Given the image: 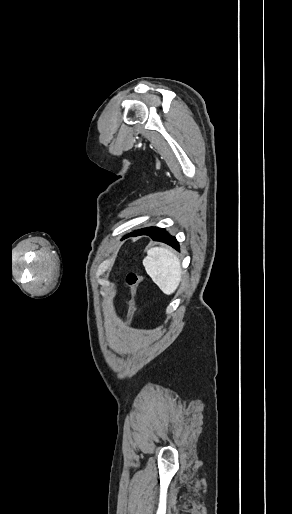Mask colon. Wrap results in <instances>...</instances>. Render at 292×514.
Instances as JSON below:
<instances>
[{
	"label": "colon",
	"instance_id": "colon-1",
	"mask_svg": "<svg viewBox=\"0 0 292 514\" xmlns=\"http://www.w3.org/2000/svg\"><path fill=\"white\" fill-rule=\"evenodd\" d=\"M141 278H142V276H141V273H139V272L131 271L126 275L125 281H126V285L130 292V297L127 301V306H128L127 315H126L127 320H131L132 316L134 315L135 306H136V297H137L138 287L141 283Z\"/></svg>",
	"mask_w": 292,
	"mask_h": 514
}]
</instances>
